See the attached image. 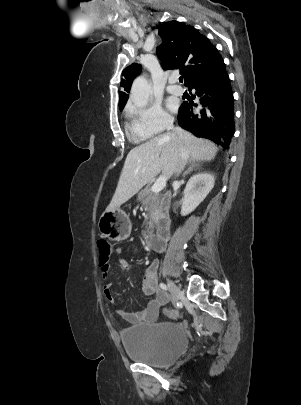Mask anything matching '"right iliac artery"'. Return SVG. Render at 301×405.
<instances>
[{"mask_svg":"<svg viewBox=\"0 0 301 405\" xmlns=\"http://www.w3.org/2000/svg\"><path fill=\"white\" fill-rule=\"evenodd\" d=\"M159 286L162 290L168 291V287L164 283H160Z\"/></svg>","mask_w":301,"mask_h":405,"instance_id":"1","label":"right iliac artery"}]
</instances>
